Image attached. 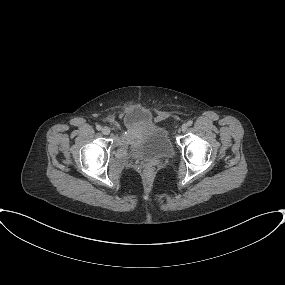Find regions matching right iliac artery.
Wrapping results in <instances>:
<instances>
[{
  "label": "right iliac artery",
  "mask_w": 285,
  "mask_h": 285,
  "mask_svg": "<svg viewBox=\"0 0 285 285\" xmlns=\"http://www.w3.org/2000/svg\"><path fill=\"white\" fill-rule=\"evenodd\" d=\"M101 126L100 125H96V129L99 131V130H101Z\"/></svg>",
  "instance_id": "1"
}]
</instances>
